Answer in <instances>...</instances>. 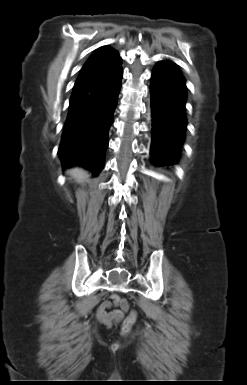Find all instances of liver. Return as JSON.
I'll return each mask as SVG.
<instances>
[{
    "instance_id": "1",
    "label": "liver",
    "mask_w": 247,
    "mask_h": 385,
    "mask_svg": "<svg viewBox=\"0 0 247 385\" xmlns=\"http://www.w3.org/2000/svg\"><path fill=\"white\" fill-rule=\"evenodd\" d=\"M68 174L77 179L79 182H83L85 179L88 178L87 172L80 168H73L68 171Z\"/></svg>"
}]
</instances>
